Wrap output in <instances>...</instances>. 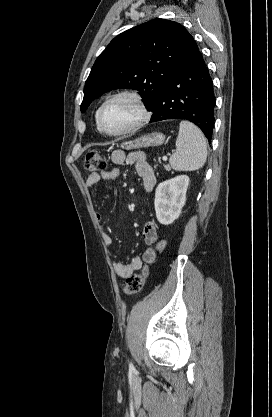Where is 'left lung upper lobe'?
Here are the masks:
<instances>
[{
	"mask_svg": "<svg viewBox=\"0 0 272 417\" xmlns=\"http://www.w3.org/2000/svg\"><path fill=\"white\" fill-rule=\"evenodd\" d=\"M198 46L179 23L154 19L116 36L96 59L85 83L81 111L103 93L118 88L140 91L145 107L156 99Z\"/></svg>",
	"mask_w": 272,
	"mask_h": 417,
	"instance_id": "5c2ea615",
	"label": "left lung upper lobe"
}]
</instances>
